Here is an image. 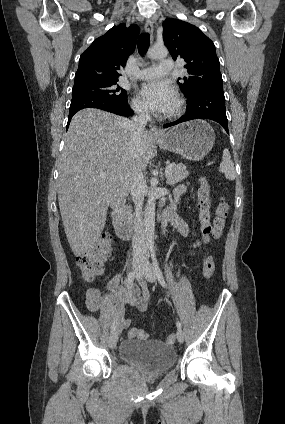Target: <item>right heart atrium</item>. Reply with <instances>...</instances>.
Returning <instances> with one entry per match:
<instances>
[{"mask_svg":"<svg viewBox=\"0 0 285 424\" xmlns=\"http://www.w3.org/2000/svg\"><path fill=\"white\" fill-rule=\"evenodd\" d=\"M132 108L139 115H146L147 114L146 106L143 104V102H141L137 98L132 99Z\"/></svg>","mask_w":285,"mask_h":424,"instance_id":"obj_1","label":"right heart atrium"}]
</instances>
